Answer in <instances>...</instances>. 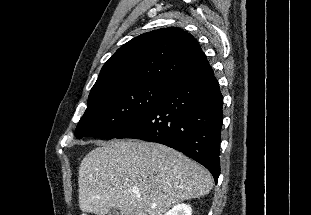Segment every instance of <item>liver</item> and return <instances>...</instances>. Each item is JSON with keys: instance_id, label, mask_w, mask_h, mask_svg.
Returning a JSON list of instances; mask_svg holds the SVG:
<instances>
[{"instance_id": "liver-1", "label": "liver", "mask_w": 311, "mask_h": 215, "mask_svg": "<svg viewBox=\"0 0 311 215\" xmlns=\"http://www.w3.org/2000/svg\"><path fill=\"white\" fill-rule=\"evenodd\" d=\"M82 212L106 215H164L180 202L204 196L211 174L167 146L137 140H113L90 151L78 176Z\"/></svg>"}]
</instances>
